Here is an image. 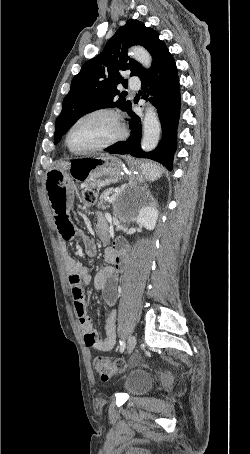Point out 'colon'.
<instances>
[{"instance_id": "1", "label": "colon", "mask_w": 250, "mask_h": 454, "mask_svg": "<svg viewBox=\"0 0 250 454\" xmlns=\"http://www.w3.org/2000/svg\"><path fill=\"white\" fill-rule=\"evenodd\" d=\"M97 195L92 189H84L82 191V203L84 206H92L95 204ZM94 367L102 380H107L115 373L122 371L125 368V363L122 360H111L104 357H96L94 359Z\"/></svg>"}]
</instances>
